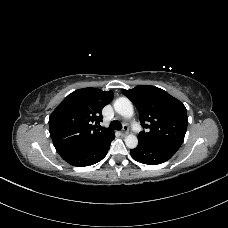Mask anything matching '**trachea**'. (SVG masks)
<instances>
[{
	"mask_svg": "<svg viewBox=\"0 0 228 228\" xmlns=\"http://www.w3.org/2000/svg\"><path fill=\"white\" fill-rule=\"evenodd\" d=\"M122 124L119 121H112L109 126V130H121Z\"/></svg>",
	"mask_w": 228,
	"mask_h": 228,
	"instance_id": "trachea-1",
	"label": "trachea"
}]
</instances>
